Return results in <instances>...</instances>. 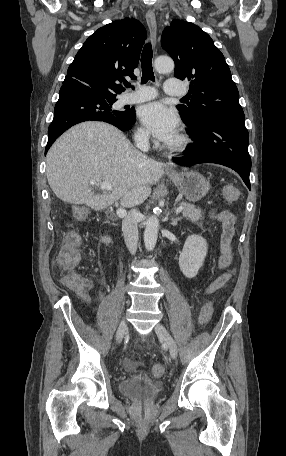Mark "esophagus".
Wrapping results in <instances>:
<instances>
[{"mask_svg": "<svg viewBox=\"0 0 286 456\" xmlns=\"http://www.w3.org/2000/svg\"><path fill=\"white\" fill-rule=\"evenodd\" d=\"M146 22L149 27L150 35H151V40H152V45L155 47L156 45V38H157V24H156V18L155 14L153 11H147L146 13ZM167 169L170 171H173V168L170 166H167Z\"/></svg>", "mask_w": 286, "mask_h": 456, "instance_id": "34e87169", "label": "esophagus"}]
</instances>
